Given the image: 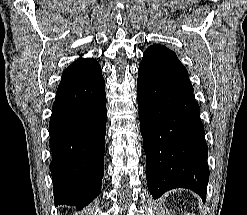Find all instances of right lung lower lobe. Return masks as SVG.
Returning <instances> with one entry per match:
<instances>
[{
  "label": "right lung lower lobe",
  "instance_id": "98d812e1",
  "mask_svg": "<svg viewBox=\"0 0 247 215\" xmlns=\"http://www.w3.org/2000/svg\"><path fill=\"white\" fill-rule=\"evenodd\" d=\"M106 95L101 67L79 58L62 74L49 122L55 206L84 208L104 175Z\"/></svg>",
  "mask_w": 247,
  "mask_h": 215
}]
</instances>
